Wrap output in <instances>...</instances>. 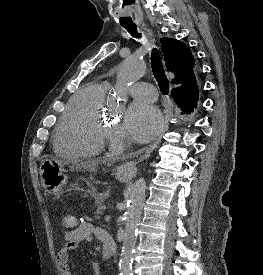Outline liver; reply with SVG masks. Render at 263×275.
I'll return each instance as SVG.
<instances>
[{"label":"liver","instance_id":"6515ba94","mask_svg":"<svg viewBox=\"0 0 263 275\" xmlns=\"http://www.w3.org/2000/svg\"><path fill=\"white\" fill-rule=\"evenodd\" d=\"M96 164H97V162L92 161V162L84 163L82 166H83L84 168L93 169V168L96 166Z\"/></svg>","mask_w":263,"mask_h":275}]
</instances>
